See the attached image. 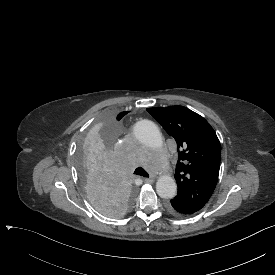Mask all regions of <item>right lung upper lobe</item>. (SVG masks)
Listing matches in <instances>:
<instances>
[{
	"mask_svg": "<svg viewBox=\"0 0 275 275\" xmlns=\"http://www.w3.org/2000/svg\"><path fill=\"white\" fill-rule=\"evenodd\" d=\"M127 114V112H122V113H120L119 115H120V117L122 118L124 115H126Z\"/></svg>",
	"mask_w": 275,
	"mask_h": 275,
	"instance_id": "obj_1",
	"label": "right lung upper lobe"
}]
</instances>
